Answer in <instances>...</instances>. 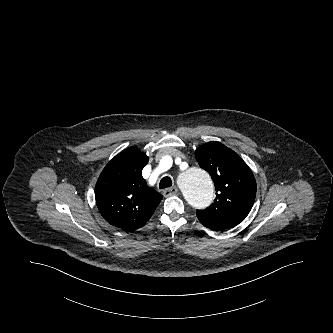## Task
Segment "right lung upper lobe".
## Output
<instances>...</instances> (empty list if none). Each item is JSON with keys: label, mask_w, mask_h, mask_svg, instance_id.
I'll list each match as a JSON object with an SVG mask.
<instances>
[{"label": "right lung upper lobe", "mask_w": 333, "mask_h": 333, "mask_svg": "<svg viewBox=\"0 0 333 333\" xmlns=\"http://www.w3.org/2000/svg\"><path fill=\"white\" fill-rule=\"evenodd\" d=\"M148 157L136 147L115 156L103 169L95 187L97 207L106 221L125 231L146 224L163 196L148 187L142 169Z\"/></svg>", "instance_id": "1"}]
</instances>
